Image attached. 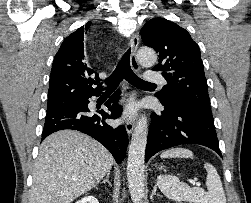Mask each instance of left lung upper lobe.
<instances>
[{
	"label": "left lung upper lobe",
	"mask_w": 251,
	"mask_h": 203,
	"mask_svg": "<svg viewBox=\"0 0 251 203\" xmlns=\"http://www.w3.org/2000/svg\"><path fill=\"white\" fill-rule=\"evenodd\" d=\"M143 43L159 53V63L152 70L161 71L167 81L157 97L171 106L188 101L210 110L207 81L198 45L176 23L153 18L141 30Z\"/></svg>",
	"instance_id": "1"
}]
</instances>
